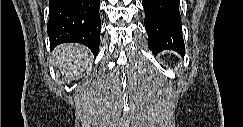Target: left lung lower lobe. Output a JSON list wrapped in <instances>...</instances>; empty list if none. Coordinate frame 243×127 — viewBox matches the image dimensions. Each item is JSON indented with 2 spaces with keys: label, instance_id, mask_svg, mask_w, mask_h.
<instances>
[{
  "label": "left lung lower lobe",
  "instance_id": "left-lung-lower-lobe-1",
  "mask_svg": "<svg viewBox=\"0 0 243 127\" xmlns=\"http://www.w3.org/2000/svg\"><path fill=\"white\" fill-rule=\"evenodd\" d=\"M148 47L157 54L163 50L185 53L178 0H142Z\"/></svg>",
  "mask_w": 243,
  "mask_h": 127
}]
</instances>
